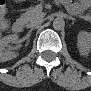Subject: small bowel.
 Wrapping results in <instances>:
<instances>
[{
  "instance_id": "obj_1",
  "label": "small bowel",
  "mask_w": 91,
  "mask_h": 91,
  "mask_svg": "<svg viewBox=\"0 0 91 91\" xmlns=\"http://www.w3.org/2000/svg\"><path fill=\"white\" fill-rule=\"evenodd\" d=\"M5 13H6V10L5 9H3V14L2 15H0V19H1V28L3 29V30H5V27H4V24H5Z\"/></svg>"
}]
</instances>
